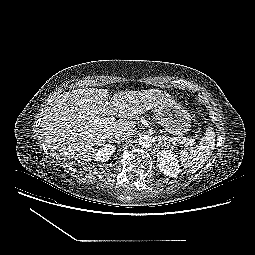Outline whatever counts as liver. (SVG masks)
I'll list each match as a JSON object with an SVG mask.
<instances>
[{"label":"liver","mask_w":255,"mask_h":255,"mask_svg":"<svg viewBox=\"0 0 255 255\" xmlns=\"http://www.w3.org/2000/svg\"><path fill=\"white\" fill-rule=\"evenodd\" d=\"M109 96L107 89L95 88L59 95L41 121L47 148L67 160L90 161L97 148L105 145L118 130L135 128L134 118L170 98L168 93L158 89L121 91L108 101ZM106 115L124 120L111 124L95 121Z\"/></svg>","instance_id":"obj_1"}]
</instances>
